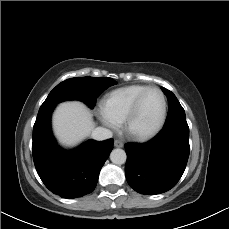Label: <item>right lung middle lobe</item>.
<instances>
[{"mask_svg":"<svg viewBox=\"0 0 229 229\" xmlns=\"http://www.w3.org/2000/svg\"><path fill=\"white\" fill-rule=\"evenodd\" d=\"M117 84L112 78L76 77L58 84L41 107H54L65 100H80L94 108L98 96L108 87Z\"/></svg>","mask_w":229,"mask_h":229,"instance_id":"obj_1","label":"right lung middle lobe"}]
</instances>
